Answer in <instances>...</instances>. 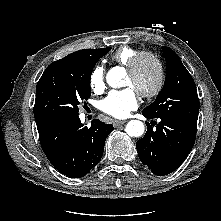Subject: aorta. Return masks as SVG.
I'll return each instance as SVG.
<instances>
[{"instance_id": "762f6f07", "label": "aorta", "mask_w": 221, "mask_h": 221, "mask_svg": "<svg viewBox=\"0 0 221 221\" xmlns=\"http://www.w3.org/2000/svg\"><path fill=\"white\" fill-rule=\"evenodd\" d=\"M122 69L112 68L106 75V81L110 87L119 88L121 86ZM144 124L139 120H131L127 123L125 131L134 137H139L144 133Z\"/></svg>"}]
</instances>
